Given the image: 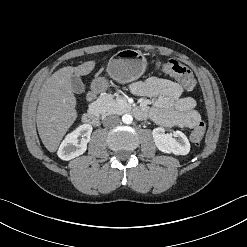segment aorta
Returning a JSON list of instances; mask_svg holds the SVG:
<instances>
[{
  "label": "aorta",
  "mask_w": 247,
  "mask_h": 247,
  "mask_svg": "<svg viewBox=\"0 0 247 247\" xmlns=\"http://www.w3.org/2000/svg\"><path fill=\"white\" fill-rule=\"evenodd\" d=\"M133 121V117L130 114H125L122 116V122L125 124H131Z\"/></svg>",
  "instance_id": "obj_1"
}]
</instances>
